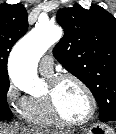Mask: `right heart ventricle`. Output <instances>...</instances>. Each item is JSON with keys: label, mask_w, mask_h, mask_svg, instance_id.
Returning a JSON list of instances; mask_svg holds the SVG:
<instances>
[{"label": "right heart ventricle", "mask_w": 116, "mask_h": 134, "mask_svg": "<svg viewBox=\"0 0 116 134\" xmlns=\"http://www.w3.org/2000/svg\"><path fill=\"white\" fill-rule=\"evenodd\" d=\"M30 104L23 115L30 123L41 127H50L56 123L52 117L44 97H29Z\"/></svg>", "instance_id": "right-heart-ventricle-1"}]
</instances>
